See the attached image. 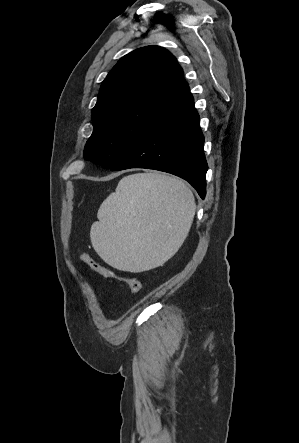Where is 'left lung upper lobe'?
Instances as JSON below:
<instances>
[{
  "instance_id": "obj_1",
  "label": "left lung upper lobe",
  "mask_w": 299,
  "mask_h": 443,
  "mask_svg": "<svg viewBox=\"0 0 299 443\" xmlns=\"http://www.w3.org/2000/svg\"><path fill=\"white\" fill-rule=\"evenodd\" d=\"M187 87L182 68L164 48L125 55L102 83L85 159L112 168Z\"/></svg>"
}]
</instances>
